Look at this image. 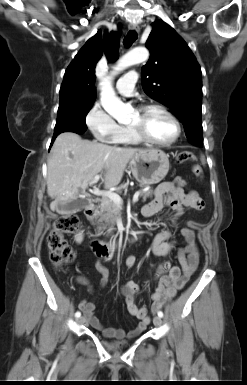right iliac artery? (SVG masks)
<instances>
[{"label":"right iliac artery","instance_id":"obj_1","mask_svg":"<svg viewBox=\"0 0 247 385\" xmlns=\"http://www.w3.org/2000/svg\"><path fill=\"white\" fill-rule=\"evenodd\" d=\"M81 316V313L79 312V311H77L76 313H75V317H80Z\"/></svg>","mask_w":247,"mask_h":385}]
</instances>
